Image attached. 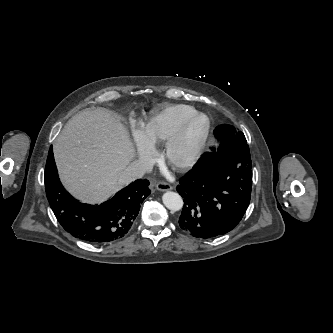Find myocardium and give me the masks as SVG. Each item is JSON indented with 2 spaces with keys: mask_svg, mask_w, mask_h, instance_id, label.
Returning <instances> with one entry per match:
<instances>
[{
  "mask_svg": "<svg viewBox=\"0 0 333 333\" xmlns=\"http://www.w3.org/2000/svg\"><path fill=\"white\" fill-rule=\"evenodd\" d=\"M197 119L203 121L202 130L196 140L189 144L188 131L192 123ZM210 130L211 121L205 113L196 111L187 116L167 142L165 158L168 164L177 171H185L192 168L206 146Z\"/></svg>",
  "mask_w": 333,
  "mask_h": 333,
  "instance_id": "f54148a6",
  "label": "myocardium"
}]
</instances>
